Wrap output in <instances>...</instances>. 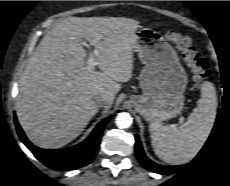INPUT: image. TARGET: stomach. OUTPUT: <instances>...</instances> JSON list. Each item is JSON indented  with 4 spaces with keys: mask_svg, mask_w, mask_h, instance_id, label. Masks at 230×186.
Returning a JSON list of instances; mask_svg holds the SVG:
<instances>
[{
    "mask_svg": "<svg viewBox=\"0 0 230 186\" xmlns=\"http://www.w3.org/2000/svg\"><path fill=\"white\" fill-rule=\"evenodd\" d=\"M134 50L145 65L140 73L142 95L130 96V103L147 121L176 117L184 106L187 74L174 48L152 29L136 32Z\"/></svg>",
    "mask_w": 230,
    "mask_h": 186,
    "instance_id": "obj_1",
    "label": "stomach"
}]
</instances>
